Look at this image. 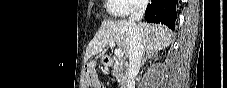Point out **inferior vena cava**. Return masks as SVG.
I'll use <instances>...</instances> for the list:
<instances>
[{
	"mask_svg": "<svg viewBox=\"0 0 227 88\" xmlns=\"http://www.w3.org/2000/svg\"><path fill=\"white\" fill-rule=\"evenodd\" d=\"M148 5L147 0L139 1L135 6V11L131 13L128 21L130 33L129 47V70L127 79V88L135 87V76L138 74L141 66V60L144 52L141 32L136 24L142 20Z\"/></svg>",
	"mask_w": 227,
	"mask_h": 88,
	"instance_id": "1",
	"label": "inferior vena cava"
}]
</instances>
